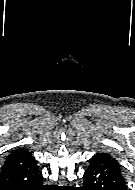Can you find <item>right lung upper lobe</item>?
Segmentation results:
<instances>
[{
    "mask_svg": "<svg viewBox=\"0 0 135 190\" xmlns=\"http://www.w3.org/2000/svg\"><path fill=\"white\" fill-rule=\"evenodd\" d=\"M28 153L29 152H28L27 149H25V148H18L16 150L12 151L11 154H10V156H12V155H19V154H28Z\"/></svg>",
    "mask_w": 135,
    "mask_h": 190,
    "instance_id": "right-lung-upper-lobe-1",
    "label": "right lung upper lobe"
}]
</instances>
